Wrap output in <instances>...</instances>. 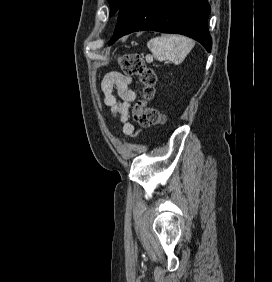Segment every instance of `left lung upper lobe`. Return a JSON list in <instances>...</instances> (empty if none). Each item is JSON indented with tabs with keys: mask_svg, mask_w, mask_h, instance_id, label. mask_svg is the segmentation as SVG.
I'll use <instances>...</instances> for the list:
<instances>
[{
	"mask_svg": "<svg viewBox=\"0 0 272 282\" xmlns=\"http://www.w3.org/2000/svg\"><path fill=\"white\" fill-rule=\"evenodd\" d=\"M108 2L110 4V15L112 16L114 13L118 12L125 0H108Z\"/></svg>",
	"mask_w": 272,
	"mask_h": 282,
	"instance_id": "obj_1",
	"label": "left lung upper lobe"
}]
</instances>
